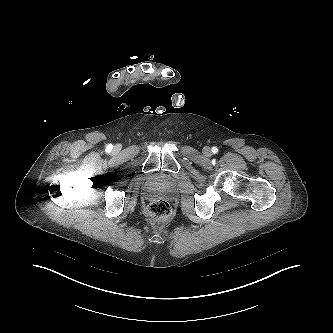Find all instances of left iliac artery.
<instances>
[{
    "mask_svg": "<svg viewBox=\"0 0 333 333\" xmlns=\"http://www.w3.org/2000/svg\"><path fill=\"white\" fill-rule=\"evenodd\" d=\"M212 152L215 154L218 152V148L217 147H212Z\"/></svg>",
    "mask_w": 333,
    "mask_h": 333,
    "instance_id": "obj_1",
    "label": "left iliac artery"
}]
</instances>
